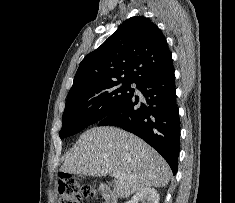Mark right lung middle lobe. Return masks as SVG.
<instances>
[{
  "instance_id": "obj_1",
  "label": "right lung middle lobe",
  "mask_w": 235,
  "mask_h": 203,
  "mask_svg": "<svg viewBox=\"0 0 235 203\" xmlns=\"http://www.w3.org/2000/svg\"><path fill=\"white\" fill-rule=\"evenodd\" d=\"M131 80H113L83 87L68 94L60 138L76 134L97 123L134 94ZM137 84V83H136Z\"/></svg>"
}]
</instances>
